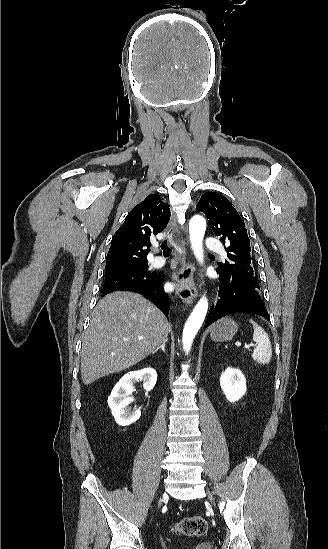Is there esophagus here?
Here are the masks:
<instances>
[{
	"mask_svg": "<svg viewBox=\"0 0 328 549\" xmlns=\"http://www.w3.org/2000/svg\"><path fill=\"white\" fill-rule=\"evenodd\" d=\"M194 273V264L192 262H188L184 257H182L176 279V294L185 305H190L197 297V290L194 283Z\"/></svg>",
	"mask_w": 328,
	"mask_h": 549,
	"instance_id": "esophagus-1",
	"label": "esophagus"
}]
</instances>
